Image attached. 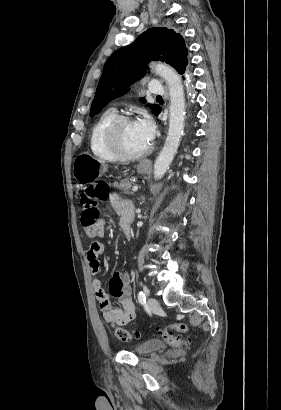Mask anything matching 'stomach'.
<instances>
[{
    "label": "stomach",
    "mask_w": 281,
    "mask_h": 410,
    "mask_svg": "<svg viewBox=\"0 0 281 410\" xmlns=\"http://www.w3.org/2000/svg\"><path fill=\"white\" fill-rule=\"evenodd\" d=\"M107 164L98 158L83 153L77 156L73 162L72 174L80 187L92 184L107 171ZM137 171L144 174L148 167L144 163L137 165Z\"/></svg>",
    "instance_id": "obj_1"
}]
</instances>
